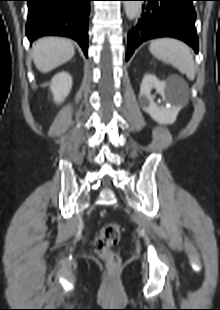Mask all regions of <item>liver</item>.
I'll use <instances>...</instances> for the list:
<instances>
[{
  "instance_id": "liver-1",
  "label": "liver",
  "mask_w": 220,
  "mask_h": 310,
  "mask_svg": "<svg viewBox=\"0 0 220 310\" xmlns=\"http://www.w3.org/2000/svg\"><path fill=\"white\" fill-rule=\"evenodd\" d=\"M74 54L72 42L59 37H44L38 39L32 46L34 64L42 73H48L68 62Z\"/></svg>"
}]
</instances>
